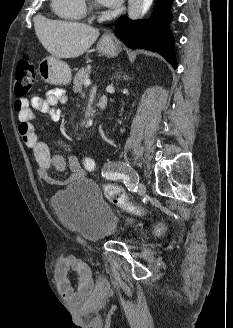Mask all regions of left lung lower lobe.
<instances>
[{
	"label": "left lung lower lobe",
	"instance_id": "0a47b994",
	"mask_svg": "<svg viewBox=\"0 0 233 328\" xmlns=\"http://www.w3.org/2000/svg\"><path fill=\"white\" fill-rule=\"evenodd\" d=\"M172 2L173 0H156L153 16L146 22L131 21L123 16L116 22L115 34L130 47L159 52L176 69L174 39L169 30Z\"/></svg>",
	"mask_w": 233,
	"mask_h": 328
}]
</instances>
